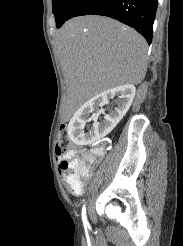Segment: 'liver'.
<instances>
[{"mask_svg": "<svg viewBox=\"0 0 183 246\" xmlns=\"http://www.w3.org/2000/svg\"><path fill=\"white\" fill-rule=\"evenodd\" d=\"M55 43L73 105L120 85H137L145 77V39L111 18H73L57 31Z\"/></svg>", "mask_w": 183, "mask_h": 246, "instance_id": "obj_1", "label": "liver"}]
</instances>
